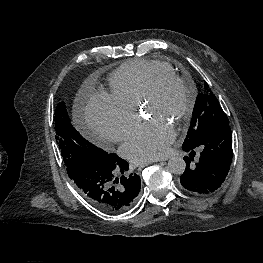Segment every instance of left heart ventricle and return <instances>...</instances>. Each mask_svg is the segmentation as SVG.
Wrapping results in <instances>:
<instances>
[{"label":"left heart ventricle","mask_w":263,"mask_h":263,"mask_svg":"<svg viewBox=\"0 0 263 263\" xmlns=\"http://www.w3.org/2000/svg\"><path fill=\"white\" fill-rule=\"evenodd\" d=\"M187 100V93L179 84L168 83L156 98L144 106L143 111L149 118H160L174 125L186 107Z\"/></svg>","instance_id":"1"}]
</instances>
